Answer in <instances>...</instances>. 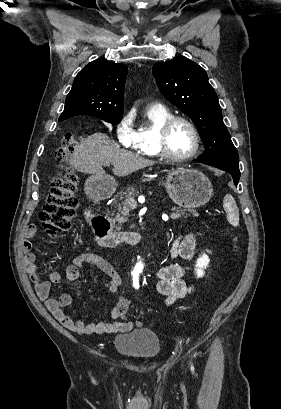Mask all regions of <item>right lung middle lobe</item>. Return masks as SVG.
Listing matches in <instances>:
<instances>
[{
  "mask_svg": "<svg viewBox=\"0 0 281 409\" xmlns=\"http://www.w3.org/2000/svg\"><path fill=\"white\" fill-rule=\"evenodd\" d=\"M98 118L112 124H117L122 119V117H98Z\"/></svg>",
  "mask_w": 281,
  "mask_h": 409,
  "instance_id": "obj_1",
  "label": "right lung middle lobe"
}]
</instances>
